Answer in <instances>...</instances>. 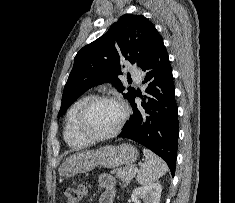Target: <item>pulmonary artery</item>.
Segmentation results:
<instances>
[{
	"label": "pulmonary artery",
	"instance_id": "1",
	"mask_svg": "<svg viewBox=\"0 0 235 203\" xmlns=\"http://www.w3.org/2000/svg\"><path fill=\"white\" fill-rule=\"evenodd\" d=\"M132 76H133V78H134V80H135L136 82H138V83L141 82V80H142V74H141L139 71L133 70V71H132Z\"/></svg>",
	"mask_w": 235,
	"mask_h": 203
}]
</instances>
